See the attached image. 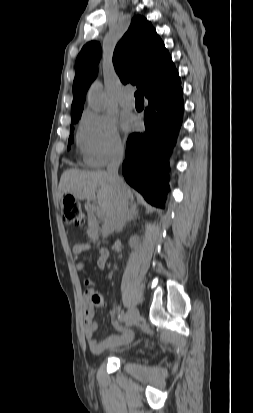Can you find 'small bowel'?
Here are the masks:
<instances>
[{"instance_id":"1","label":"small bowel","mask_w":253,"mask_h":413,"mask_svg":"<svg viewBox=\"0 0 253 413\" xmlns=\"http://www.w3.org/2000/svg\"><path fill=\"white\" fill-rule=\"evenodd\" d=\"M92 249L96 250L98 253L97 267L100 270H104L109 253L108 251L102 250L101 247H95L89 243H78L74 246L73 253H74L75 258L78 259L82 253L92 250ZM76 268L80 271H83L85 269V266L82 262L77 261ZM87 284H88V288L83 298L84 332H85V337L88 342L90 351L94 354H100L108 348L125 345L131 342V340L133 339V331L121 329L118 326L116 322V317L118 316L117 309H114L112 311V319H113L114 327L120 331V334L108 336L107 338L101 341L95 338L94 335L98 329V324L94 320L95 310H94L93 304L90 301V292L94 290L95 288L90 284L89 281H87Z\"/></svg>"}]
</instances>
